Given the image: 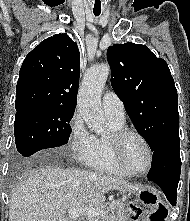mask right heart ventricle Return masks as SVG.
<instances>
[{"mask_svg":"<svg viewBox=\"0 0 190 221\" xmlns=\"http://www.w3.org/2000/svg\"><path fill=\"white\" fill-rule=\"evenodd\" d=\"M111 132L108 135L95 136L94 148L91 156L86 161V165L99 172H105L120 176H128L117 164L111 146V136L113 133L124 128V123L108 119Z\"/></svg>","mask_w":190,"mask_h":221,"instance_id":"right-heart-ventricle-1","label":"right heart ventricle"}]
</instances>
